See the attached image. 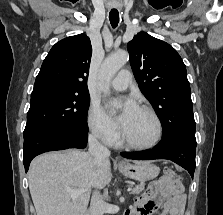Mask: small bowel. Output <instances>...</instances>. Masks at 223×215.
Segmentation results:
<instances>
[{
    "label": "small bowel",
    "instance_id": "c3829d8e",
    "mask_svg": "<svg viewBox=\"0 0 223 215\" xmlns=\"http://www.w3.org/2000/svg\"><path fill=\"white\" fill-rule=\"evenodd\" d=\"M185 202L180 182L165 176L153 182L148 190L136 199L134 208L127 215H151L160 206V215H182Z\"/></svg>",
    "mask_w": 223,
    "mask_h": 215
}]
</instances>
